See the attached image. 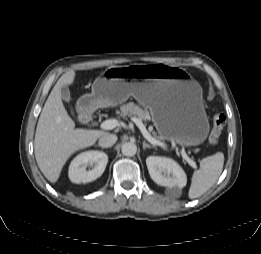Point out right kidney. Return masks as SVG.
Instances as JSON below:
<instances>
[{"label":"right kidney","instance_id":"obj_1","mask_svg":"<svg viewBox=\"0 0 261 254\" xmlns=\"http://www.w3.org/2000/svg\"><path fill=\"white\" fill-rule=\"evenodd\" d=\"M108 163V156L101 151H87L77 155L69 166V178L73 183H87L99 178ZM88 165H94L86 170Z\"/></svg>","mask_w":261,"mask_h":254}]
</instances>
